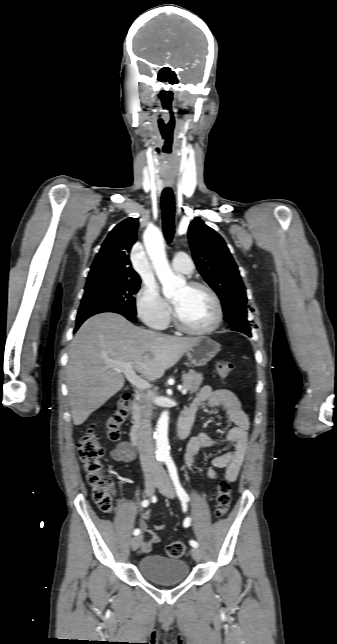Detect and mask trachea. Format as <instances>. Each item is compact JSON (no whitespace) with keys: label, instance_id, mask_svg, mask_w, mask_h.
I'll return each instance as SVG.
<instances>
[{"label":"trachea","instance_id":"trachea-1","mask_svg":"<svg viewBox=\"0 0 337 644\" xmlns=\"http://www.w3.org/2000/svg\"><path fill=\"white\" fill-rule=\"evenodd\" d=\"M163 233L166 241L171 243L174 236V196L170 187H166L161 196Z\"/></svg>","mask_w":337,"mask_h":644}]
</instances>
